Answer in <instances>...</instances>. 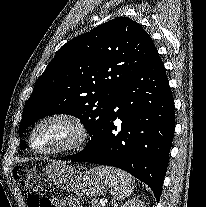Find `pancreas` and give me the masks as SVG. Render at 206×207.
<instances>
[{
  "label": "pancreas",
  "instance_id": "1",
  "mask_svg": "<svg viewBox=\"0 0 206 207\" xmlns=\"http://www.w3.org/2000/svg\"><path fill=\"white\" fill-rule=\"evenodd\" d=\"M89 207H99V203L97 200H92L91 205Z\"/></svg>",
  "mask_w": 206,
  "mask_h": 207
}]
</instances>
